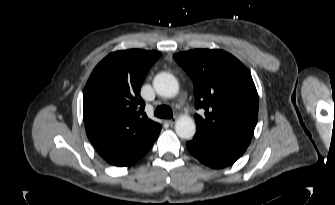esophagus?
<instances>
[{
  "label": "esophagus",
  "mask_w": 335,
  "mask_h": 205,
  "mask_svg": "<svg viewBox=\"0 0 335 205\" xmlns=\"http://www.w3.org/2000/svg\"><path fill=\"white\" fill-rule=\"evenodd\" d=\"M166 122L170 125H173L176 122V118L174 117V118L168 119L166 120Z\"/></svg>",
  "instance_id": "obj_1"
}]
</instances>
